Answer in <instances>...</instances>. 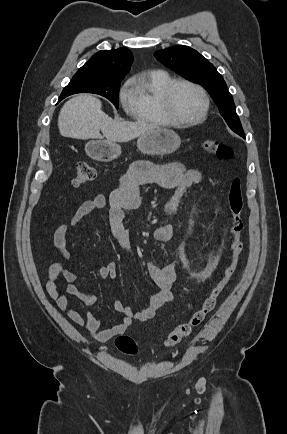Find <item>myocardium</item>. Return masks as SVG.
Instances as JSON below:
<instances>
[{
    "mask_svg": "<svg viewBox=\"0 0 287 434\" xmlns=\"http://www.w3.org/2000/svg\"><path fill=\"white\" fill-rule=\"evenodd\" d=\"M184 84L193 87L196 89L202 98L203 101V107L200 112V114L192 119H180L178 118L172 109V94L176 86ZM209 96L206 92V90L198 83L184 79V78H177L172 79L163 89L162 95H161V107L164 115L167 117V119L170 121L171 124L175 125H194L202 122L208 114L209 110Z\"/></svg>",
    "mask_w": 287,
    "mask_h": 434,
    "instance_id": "f54148a6",
    "label": "myocardium"
}]
</instances>
